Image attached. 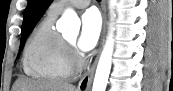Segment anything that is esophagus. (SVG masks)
Here are the masks:
<instances>
[{"label":"esophagus","instance_id":"obj_1","mask_svg":"<svg viewBox=\"0 0 173 91\" xmlns=\"http://www.w3.org/2000/svg\"><path fill=\"white\" fill-rule=\"evenodd\" d=\"M106 0L101 1V7H102V18H103V26H102V34H101V43L99 52L95 58L94 63L92 66L88 69V71L84 74V76L81 78L78 84V90L79 91H89L91 88V84L94 77V72L96 69V65L100 56V53L102 51V48L104 46L105 41V35H106V28H107V9H106Z\"/></svg>","mask_w":173,"mask_h":91}]
</instances>
